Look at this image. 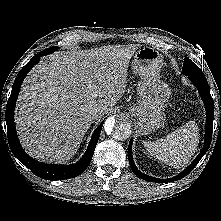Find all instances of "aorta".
Here are the masks:
<instances>
[{
  "instance_id": "762f6f07",
  "label": "aorta",
  "mask_w": 221,
  "mask_h": 221,
  "mask_svg": "<svg viewBox=\"0 0 221 221\" xmlns=\"http://www.w3.org/2000/svg\"><path fill=\"white\" fill-rule=\"evenodd\" d=\"M131 123L126 116L118 115L107 118L104 130L115 140H125L131 135Z\"/></svg>"
}]
</instances>
